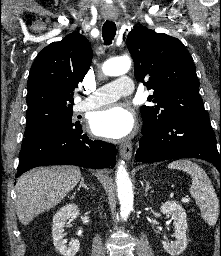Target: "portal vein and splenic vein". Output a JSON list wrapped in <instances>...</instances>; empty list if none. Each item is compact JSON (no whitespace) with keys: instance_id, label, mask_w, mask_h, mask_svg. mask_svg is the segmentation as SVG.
Instances as JSON below:
<instances>
[{"instance_id":"1","label":"portal vein and splenic vein","mask_w":221,"mask_h":256,"mask_svg":"<svg viewBox=\"0 0 221 256\" xmlns=\"http://www.w3.org/2000/svg\"><path fill=\"white\" fill-rule=\"evenodd\" d=\"M190 201V198L188 196L182 198V202H188Z\"/></svg>"}]
</instances>
